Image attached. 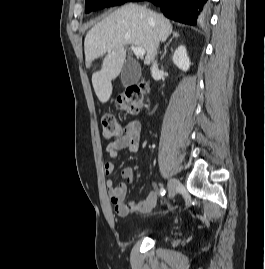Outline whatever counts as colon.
<instances>
[{"mask_svg":"<svg viewBox=\"0 0 265 269\" xmlns=\"http://www.w3.org/2000/svg\"><path fill=\"white\" fill-rule=\"evenodd\" d=\"M145 88L143 86H130L125 93L117 97L115 106L118 110L127 113H137L142 104L143 93ZM122 127L112 114H105L102 117V136L104 140H113L120 136Z\"/></svg>","mask_w":265,"mask_h":269,"instance_id":"colon-1","label":"colon"}]
</instances>
